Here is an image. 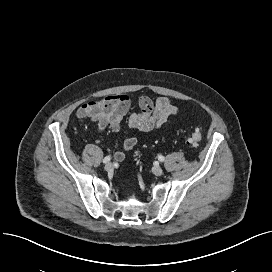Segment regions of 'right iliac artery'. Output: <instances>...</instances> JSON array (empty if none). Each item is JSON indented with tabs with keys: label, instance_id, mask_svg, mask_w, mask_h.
Instances as JSON below:
<instances>
[{
	"label": "right iliac artery",
	"instance_id": "1",
	"mask_svg": "<svg viewBox=\"0 0 272 272\" xmlns=\"http://www.w3.org/2000/svg\"><path fill=\"white\" fill-rule=\"evenodd\" d=\"M110 160H111V157H110V156H106V157L103 159V163H108Z\"/></svg>",
	"mask_w": 272,
	"mask_h": 272
}]
</instances>
